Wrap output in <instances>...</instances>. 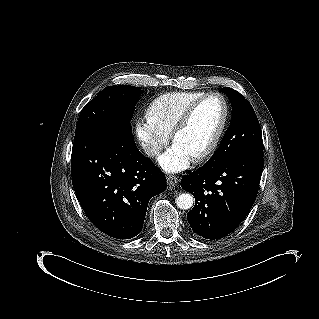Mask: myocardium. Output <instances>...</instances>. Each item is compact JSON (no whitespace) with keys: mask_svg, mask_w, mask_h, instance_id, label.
Here are the masks:
<instances>
[{"mask_svg":"<svg viewBox=\"0 0 319 319\" xmlns=\"http://www.w3.org/2000/svg\"><path fill=\"white\" fill-rule=\"evenodd\" d=\"M212 98L218 99L222 104L221 120H220L218 128H217L215 134L213 135L211 141L202 150L193 153V156L196 160L202 159V158L206 157L208 154H210L213 151V149L216 147V145L218 144V142L221 138V135H222L223 130L225 128L227 115H228V106H227V102H226L224 96L220 93H217V92L209 93V94L202 96L199 100H197L195 103H193L183 113V115L180 117L178 122L175 124L174 129L172 131V139L174 141H176L178 133L185 126V124L188 122V120H189L191 114L193 113V111L195 110V108L197 106H199L201 103H203L209 99H212Z\"/></svg>","mask_w":319,"mask_h":319,"instance_id":"f54148a6","label":"myocardium"}]
</instances>
